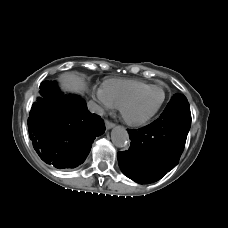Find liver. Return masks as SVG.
I'll return each mask as SVG.
<instances>
[{
    "label": "liver",
    "instance_id": "6515ba94",
    "mask_svg": "<svg viewBox=\"0 0 228 228\" xmlns=\"http://www.w3.org/2000/svg\"><path fill=\"white\" fill-rule=\"evenodd\" d=\"M62 88L71 92H81L85 88L83 78L73 73H65L60 76Z\"/></svg>",
    "mask_w": 228,
    "mask_h": 228
}]
</instances>
